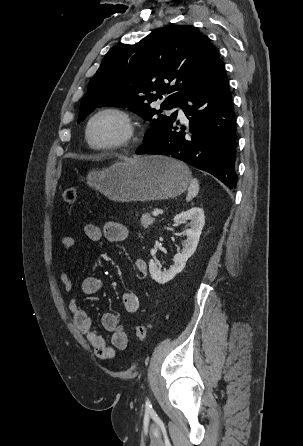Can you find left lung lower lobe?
Segmentation results:
<instances>
[{"mask_svg":"<svg viewBox=\"0 0 303 446\" xmlns=\"http://www.w3.org/2000/svg\"><path fill=\"white\" fill-rule=\"evenodd\" d=\"M176 106L183 109L190 121L187 131L184 132L183 126L178 131L177 112H174L172 121L136 153L177 158L212 174L230 189L235 188L234 107L225 66L219 56Z\"/></svg>","mask_w":303,"mask_h":446,"instance_id":"left-lung-lower-lobe-1","label":"left lung lower lobe"}]
</instances>
